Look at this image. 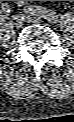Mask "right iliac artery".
I'll return each mask as SVG.
<instances>
[{"mask_svg": "<svg viewBox=\"0 0 74 122\" xmlns=\"http://www.w3.org/2000/svg\"><path fill=\"white\" fill-rule=\"evenodd\" d=\"M1 11L5 13H9L11 11L10 6L7 3H3L1 6Z\"/></svg>", "mask_w": 74, "mask_h": 122, "instance_id": "obj_1", "label": "right iliac artery"}]
</instances>
